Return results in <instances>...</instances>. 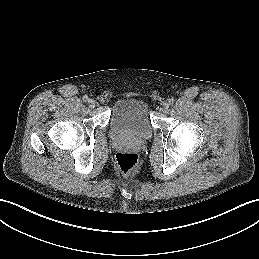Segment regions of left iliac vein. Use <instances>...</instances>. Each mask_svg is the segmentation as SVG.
Instances as JSON below:
<instances>
[{
	"instance_id": "left-iliac-vein-1",
	"label": "left iliac vein",
	"mask_w": 259,
	"mask_h": 259,
	"mask_svg": "<svg viewBox=\"0 0 259 259\" xmlns=\"http://www.w3.org/2000/svg\"><path fill=\"white\" fill-rule=\"evenodd\" d=\"M168 108H169V103L168 102H164L162 104V106H161L162 112H167Z\"/></svg>"
}]
</instances>
